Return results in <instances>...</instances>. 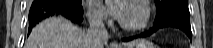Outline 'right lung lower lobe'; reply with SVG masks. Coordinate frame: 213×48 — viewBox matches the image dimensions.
<instances>
[{"label": "right lung lower lobe", "instance_id": "1", "mask_svg": "<svg viewBox=\"0 0 213 48\" xmlns=\"http://www.w3.org/2000/svg\"><path fill=\"white\" fill-rule=\"evenodd\" d=\"M54 15H62L74 23H80L83 19L81 2L77 0H34L29 11L28 34L41 20Z\"/></svg>", "mask_w": 213, "mask_h": 48}]
</instances>
